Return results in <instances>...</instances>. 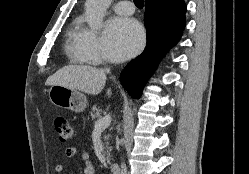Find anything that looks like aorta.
Here are the masks:
<instances>
[{
	"label": "aorta",
	"mask_w": 249,
	"mask_h": 174,
	"mask_svg": "<svg viewBox=\"0 0 249 174\" xmlns=\"http://www.w3.org/2000/svg\"><path fill=\"white\" fill-rule=\"evenodd\" d=\"M112 0H86V21L92 30L102 27L104 14Z\"/></svg>",
	"instance_id": "1"
}]
</instances>
